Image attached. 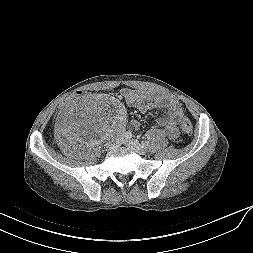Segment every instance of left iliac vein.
I'll use <instances>...</instances> for the list:
<instances>
[{"mask_svg": "<svg viewBox=\"0 0 253 253\" xmlns=\"http://www.w3.org/2000/svg\"><path fill=\"white\" fill-rule=\"evenodd\" d=\"M124 144L126 147L139 155H144L146 153V148L143 147L137 140L127 139L124 141Z\"/></svg>", "mask_w": 253, "mask_h": 253, "instance_id": "left-iliac-vein-1", "label": "left iliac vein"}]
</instances>
